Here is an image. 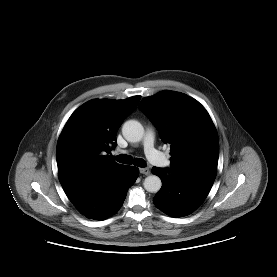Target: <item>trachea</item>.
<instances>
[{
	"label": "trachea",
	"mask_w": 277,
	"mask_h": 277,
	"mask_svg": "<svg viewBox=\"0 0 277 277\" xmlns=\"http://www.w3.org/2000/svg\"><path fill=\"white\" fill-rule=\"evenodd\" d=\"M115 159L119 163L134 164L135 166H138V167H145V165H146L145 161L142 158H135V159H133L129 155H122L121 154V155L115 157Z\"/></svg>",
	"instance_id": "obj_1"
}]
</instances>
